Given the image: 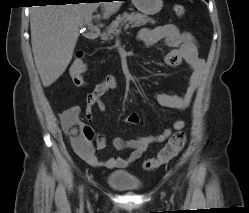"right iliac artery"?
<instances>
[{
	"instance_id": "right-iliac-artery-1",
	"label": "right iliac artery",
	"mask_w": 249,
	"mask_h": 213,
	"mask_svg": "<svg viewBox=\"0 0 249 213\" xmlns=\"http://www.w3.org/2000/svg\"><path fill=\"white\" fill-rule=\"evenodd\" d=\"M82 191H83V187L81 186L80 187V195H81V197H82Z\"/></svg>"
}]
</instances>
